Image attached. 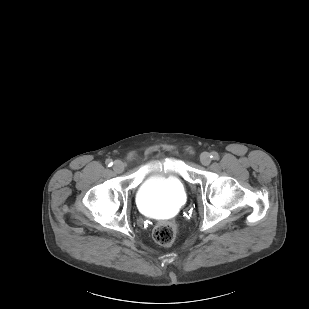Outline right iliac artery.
<instances>
[{
	"mask_svg": "<svg viewBox=\"0 0 309 309\" xmlns=\"http://www.w3.org/2000/svg\"><path fill=\"white\" fill-rule=\"evenodd\" d=\"M105 163L108 167H111L113 165V162L111 159H107Z\"/></svg>",
	"mask_w": 309,
	"mask_h": 309,
	"instance_id": "right-iliac-artery-1",
	"label": "right iliac artery"
}]
</instances>
